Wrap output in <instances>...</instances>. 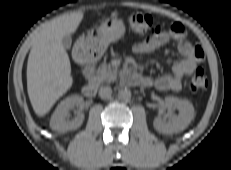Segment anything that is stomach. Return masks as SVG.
<instances>
[{
    "instance_id": "0dacf381",
    "label": "stomach",
    "mask_w": 231,
    "mask_h": 170,
    "mask_svg": "<svg viewBox=\"0 0 231 170\" xmlns=\"http://www.w3.org/2000/svg\"><path fill=\"white\" fill-rule=\"evenodd\" d=\"M124 33L125 26L122 20L114 17L106 18L98 28L82 35L77 41V46L89 58L99 59L109 44L121 39Z\"/></svg>"
}]
</instances>
